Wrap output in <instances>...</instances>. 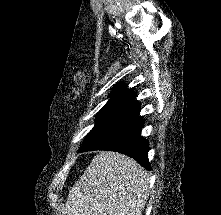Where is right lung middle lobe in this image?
Instances as JSON below:
<instances>
[{
    "label": "right lung middle lobe",
    "mask_w": 221,
    "mask_h": 215,
    "mask_svg": "<svg viewBox=\"0 0 221 215\" xmlns=\"http://www.w3.org/2000/svg\"><path fill=\"white\" fill-rule=\"evenodd\" d=\"M121 120L122 118L120 117L97 114L96 124L89 133V136L85 140L83 146L89 144L91 141L106 133Z\"/></svg>",
    "instance_id": "right-lung-middle-lobe-1"
}]
</instances>
